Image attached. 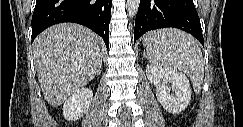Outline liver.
I'll return each instance as SVG.
<instances>
[{
  "label": "liver",
  "instance_id": "1",
  "mask_svg": "<svg viewBox=\"0 0 243 127\" xmlns=\"http://www.w3.org/2000/svg\"><path fill=\"white\" fill-rule=\"evenodd\" d=\"M33 48L41 90L53 107L91 81L102 66V39L79 24L48 28L37 36Z\"/></svg>",
  "mask_w": 243,
  "mask_h": 127
}]
</instances>
